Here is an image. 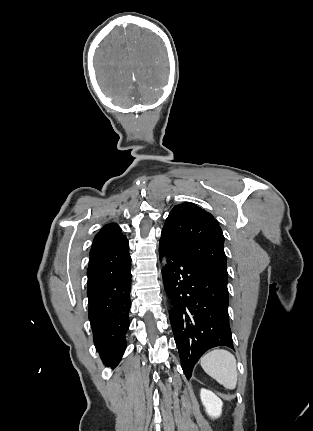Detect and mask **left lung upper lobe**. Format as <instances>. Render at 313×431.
<instances>
[{
  "label": "left lung upper lobe",
  "instance_id": "1",
  "mask_svg": "<svg viewBox=\"0 0 313 431\" xmlns=\"http://www.w3.org/2000/svg\"><path fill=\"white\" fill-rule=\"evenodd\" d=\"M161 239L186 259L227 280L222 230L218 221L202 208L190 203L174 206Z\"/></svg>",
  "mask_w": 313,
  "mask_h": 431
}]
</instances>
